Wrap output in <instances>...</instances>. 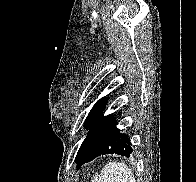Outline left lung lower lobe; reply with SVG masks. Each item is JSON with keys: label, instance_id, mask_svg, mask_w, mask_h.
Listing matches in <instances>:
<instances>
[{"label": "left lung lower lobe", "instance_id": "obj_1", "mask_svg": "<svg viewBox=\"0 0 196 182\" xmlns=\"http://www.w3.org/2000/svg\"><path fill=\"white\" fill-rule=\"evenodd\" d=\"M131 145L129 137L126 134L121 133L120 129L115 128V130L94 150L81 155L77 159L78 168L100 155L117 154L129 157L133 151Z\"/></svg>", "mask_w": 196, "mask_h": 182}]
</instances>
